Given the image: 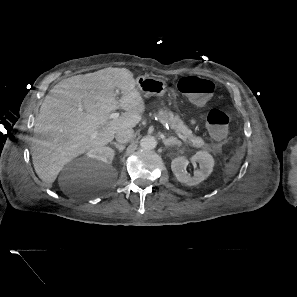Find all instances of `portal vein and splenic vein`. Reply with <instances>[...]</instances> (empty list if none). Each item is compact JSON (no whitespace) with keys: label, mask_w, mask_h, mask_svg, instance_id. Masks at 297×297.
<instances>
[{"label":"portal vein and splenic vein","mask_w":297,"mask_h":297,"mask_svg":"<svg viewBox=\"0 0 297 297\" xmlns=\"http://www.w3.org/2000/svg\"><path fill=\"white\" fill-rule=\"evenodd\" d=\"M118 117H119V113H117V112L110 114V118H111V119H116V118H118ZM176 134L178 135V137H179L180 139H182L183 141H186V138H185L182 134H180V133H178V132H176ZM91 138H92V139L95 138V135H92Z\"/></svg>","instance_id":"1"}]
</instances>
